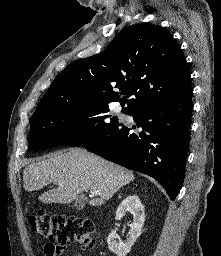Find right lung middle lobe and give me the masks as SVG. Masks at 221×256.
I'll return each mask as SVG.
<instances>
[{
    "label": "right lung middle lobe",
    "instance_id": "dd1d6c3e",
    "mask_svg": "<svg viewBox=\"0 0 221 256\" xmlns=\"http://www.w3.org/2000/svg\"><path fill=\"white\" fill-rule=\"evenodd\" d=\"M108 104H77L35 113L30 119L28 149L57 145H82L111 129L120 121L109 114ZM125 114H133L123 108Z\"/></svg>",
    "mask_w": 221,
    "mask_h": 256
}]
</instances>
